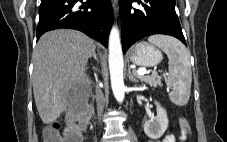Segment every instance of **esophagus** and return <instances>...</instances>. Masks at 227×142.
<instances>
[{"mask_svg": "<svg viewBox=\"0 0 227 142\" xmlns=\"http://www.w3.org/2000/svg\"><path fill=\"white\" fill-rule=\"evenodd\" d=\"M112 9L115 16L118 13V0H112Z\"/></svg>", "mask_w": 227, "mask_h": 142, "instance_id": "obj_1", "label": "esophagus"}]
</instances>
